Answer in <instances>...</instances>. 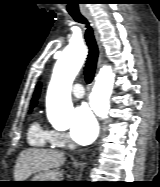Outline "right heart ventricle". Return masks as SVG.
I'll return each instance as SVG.
<instances>
[{"label":"right heart ventricle","mask_w":160,"mask_h":187,"mask_svg":"<svg viewBox=\"0 0 160 187\" xmlns=\"http://www.w3.org/2000/svg\"><path fill=\"white\" fill-rule=\"evenodd\" d=\"M28 141L32 146L46 147L51 144L49 131L42 128L38 122H34L29 128Z\"/></svg>","instance_id":"obj_1"}]
</instances>
